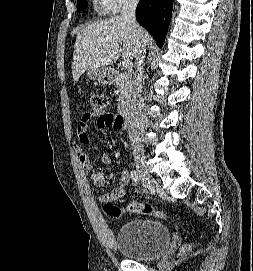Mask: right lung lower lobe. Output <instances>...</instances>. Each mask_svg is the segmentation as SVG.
Returning <instances> with one entry per match:
<instances>
[{
  "mask_svg": "<svg viewBox=\"0 0 253 271\" xmlns=\"http://www.w3.org/2000/svg\"><path fill=\"white\" fill-rule=\"evenodd\" d=\"M173 0H140L136 19L162 47L172 16Z\"/></svg>",
  "mask_w": 253,
  "mask_h": 271,
  "instance_id": "1",
  "label": "right lung lower lobe"
}]
</instances>
